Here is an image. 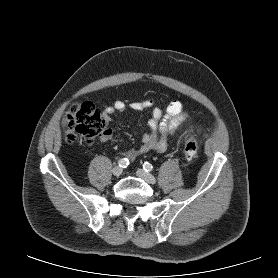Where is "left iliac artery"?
<instances>
[{
    "instance_id": "1",
    "label": "left iliac artery",
    "mask_w": 278,
    "mask_h": 278,
    "mask_svg": "<svg viewBox=\"0 0 278 278\" xmlns=\"http://www.w3.org/2000/svg\"><path fill=\"white\" fill-rule=\"evenodd\" d=\"M143 168L146 172H151L153 170V166L149 162H144Z\"/></svg>"
}]
</instances>
